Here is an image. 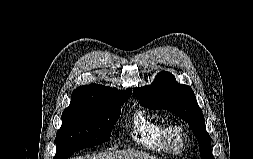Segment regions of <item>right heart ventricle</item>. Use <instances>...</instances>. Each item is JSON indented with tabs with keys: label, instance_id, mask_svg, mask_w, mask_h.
<instances>
[{
	"label": "right heart ventricle",
	"instance_id": "e07e8e85",
	"mask_svg": "<svg viewBox=\"0 0 253 159\" xmlns=\"http://www.w3.org/2000/svg\"><path fill=\"white\" fill-rule=\"evenodd\" d=\"M166 123L147 115L144 111H137L131 120V138L138 144L153 150L166 149L164 144Z\"/></svg>",
	"mask_w": 253,
	"mask_h": 159
}]
</instances>
